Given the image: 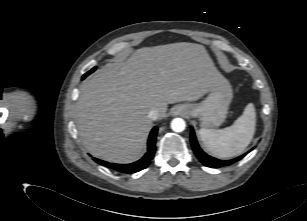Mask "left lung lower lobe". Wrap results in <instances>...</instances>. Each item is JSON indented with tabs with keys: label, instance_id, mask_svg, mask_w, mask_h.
<instances>
[{
	"label": "left lung lower lobe",
	"instance_id": "left-lung-lower-lobe-1",
	"mask_svg": "<svg viewBox=\"0 0 307 221\" xmlns=\"http://www.w3.org/2000/svg\"><path fill=\"white\" fill-rule=\"evenodd\" d=\"M190 140H191V145H192V148H193V151H194L196 157L199 159V161L202 164H204L207 167L220 168V167H223V166L231 165V164L239 161L240 159H242L246 155V154H243V155H241L237 158L231 159V160H219V159H216L214 157L207 155L199 147L193 128H191V138H190Z\"/></svg>",
	"mask_w": 307,
	"mask_h": 221
}]
</instances>
